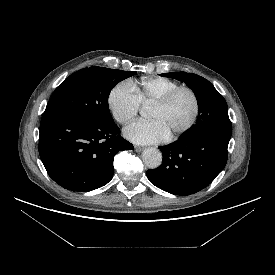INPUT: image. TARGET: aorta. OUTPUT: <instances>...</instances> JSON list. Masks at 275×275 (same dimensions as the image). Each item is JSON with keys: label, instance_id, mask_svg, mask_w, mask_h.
Returning a JSON list of instances; mask_svg holds the SVG:
<instances>
[{"label": "aorta", "instance_id": "762f6f07", "mask_svg": "<svg viewBox=\"0 0 275 275\" xmlns=\"http://www.w3.org/2000/svg\"><path fill=\"white\" fill-rule=\"evenodd\" d=\"M148 112V107L143 106L140 110L142 116H146ZM142 159L144 164L150 169L158 168L162 163V154L160 150L150 147L142 152Z\"/></svg>", "mask_w": 275, "mask_h": 275}]
</instances>
